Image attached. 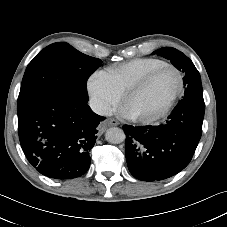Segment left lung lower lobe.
<instances>
[{
    "instance_id": "1",
    "label": "left lung lower lobe",
    "mask_w": 227,
    "mask_h": 227,
    "mask_svg": "<svg viewBox=\"0 0 227 227\" xmlns=\"http://www.w3.org/2000/svg\"><path fill=\"white\" fill-rule=\"evenodd\" d=\"M203 117V106H177L159 126L124 125L125 154L131 174L142 181H155L183 170L201 138Z\"/></svg>"
}]
</instances>
